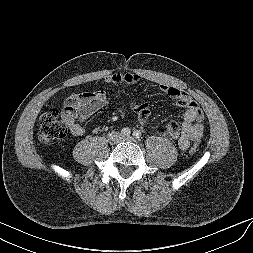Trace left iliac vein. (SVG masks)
<instances>
[{"label":"left iliac vein","mask_w":253,"mask_h":253,"mask_svg":"<svg viewBox=\"0 0 253 253\" xmlns=\"http://www.w3.org/2000/svg\"><path fill=\"white\" fill-rule=\"evenodd\" d=\"M121 140L122 141H130V142H134L135 141V139L132 136L122 137Z\"/></svg>","instance_id":"4c4485c4"}]
</instances>
